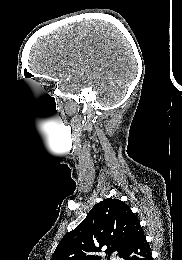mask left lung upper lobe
I'll use <instances>...</instances> for the list:
<instances>
[{
    "mask_svg": "<svg viewBox=\"0 0 182 260\" xmlns=\"http://www.w3.org/2000/svg\"><path fill=\"white\" fill-rule=\"evenodd\" d=\"M140 223L131 209L118 199L107 198L93 206L83 222L67 233L51 260H101V249L110 260L120 257Z\"/></svg>",
    "mask_w": 182,
    "mask_h": 260,
    "instance_id": "left-lung-upper-lobe-1",
    "label": "left lung upper lobe"
}]
</instances>
